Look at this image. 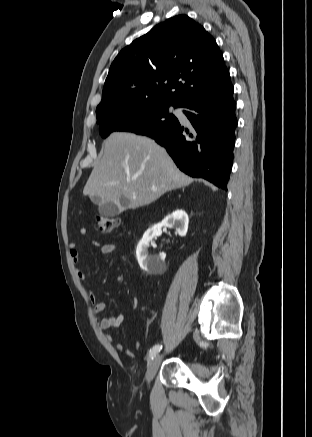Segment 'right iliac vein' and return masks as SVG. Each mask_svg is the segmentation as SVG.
Here are the masks:
<instances>
[{
  "label": "right iliac vein",
  "instance_id": "obj_1",
  "mask_svg": "<svg viewBox=\"0 0 312 437\" xmlns=\"http://www.w3.org/2000/svg\"><path fill=\"white\" fill-rule=\"evenodd\" d=\"M161 359L162 356L161 355H156L149 363L148 368H147V372H146V379L148 382H150L153 377L155 376L159 365L161 363Z\"/></svg>",
  "mask_w": 312,
  "mask_h": 437
}]
</instances>
